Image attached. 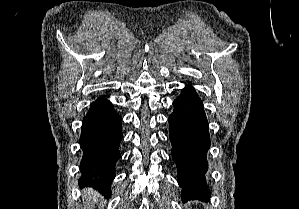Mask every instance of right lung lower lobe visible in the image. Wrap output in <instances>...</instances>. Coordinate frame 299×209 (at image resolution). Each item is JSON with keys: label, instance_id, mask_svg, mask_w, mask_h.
I'll use <instances>...</instances> for the list:
<instances>
[{"label": "right lung lower lobe", "instance_id": "obj_1", "mask_svg": "<svg viewBox=\"0 0 299 209\" xmlns=\"http://www.w3.org/2000/svg\"><path fill=\"white\" fill-rule=\"evenodd\" d=\"M121 122V116L105 97L91 104L81 128L83 155L79 185L93 187L107 196L111 194L115 165L120 158L119 143L123 138Z\"/></svg>", "mask_w": 299, "mask_h": 209}]
</instances>
